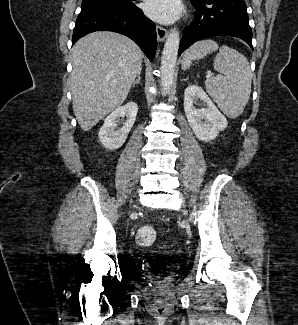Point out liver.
<instances>
[{
    "instance_id": "1",
    "label": "liver",
    "mask_w": 298,
    "mask_h": 325,
    "mask_svg": "<svg viewBox=\"0 0 298 325\" xmlns=\"http://www.w3.org/2000/svg\"><path fill=\"white\" fill-rule=\"evenodd\" d=\"M144 54L128 36L91 32L71 48L73 112L82 130H90L123 104L142 66Z\"/></svg>"
}]
</instances>
